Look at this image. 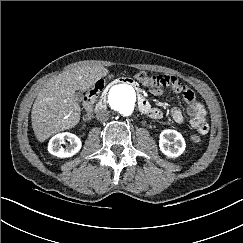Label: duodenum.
<instances>
[{"label":"duodenum","mask_w":243,"mask_h":243,"mask_svg":"<svg viewBox=\"0 0 243 243\" xmlns=\"http://www.w3.org/2000/svg\"><path fill=\"white\" fill-rule=\"evenodd\" d=\"M126 81V80H124ZM137 101H138V106L141 112H143L144 114H151L152 112V108L149 104V102L141 95L138 94L137 95ZM106 103H107V98H106V94H103L102 97L100 98V100L97 102L96 106H95V110L96 111H101L106 107Z\"/></svg>","instance_id":"duodenum-1"}]
</instances>
